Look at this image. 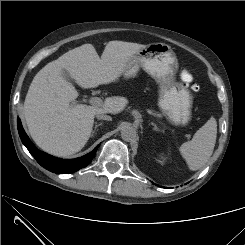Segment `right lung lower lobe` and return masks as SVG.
<instances>
[{"label":"right lung lower lobe","mask_w":245,"mask_h":245,"mask_svg":"<svg viewBox=\"0 0 245 245\" xmlns=\"http://www.w3.org/2000/svg\"><path fill=\"white\" fill-rule=\"evenodd\" d=\"M17 125L22 143L26 146L31 155L42 167L57 174L72 173L86 167L94 158L96 150L99 147L98 145L95 150L83 157L72 160H62L38 150L25 133L19 118L17 119Z\"/></svg>","instance_id":"obj_1"}]
</instances>
